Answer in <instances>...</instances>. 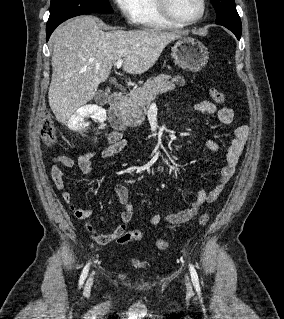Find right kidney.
<instances>
[{"label": "right kidney", "mask_w": 284, "mask_h": 319, "mask_svg": "<svg viewBox=\"0 0 284 319\" xmlns=\"http://www.w3.org/2000/svg\"><path fill=\"white\" fill-rule=\"evenodd\" d=\"M88 116H93L102 123L106 120L105 110L96 106L86 105L77 110V113L70 120L69 127L73 130H78L87 126L88 124L84 122V119Z\"/></svg>", "instance_id": "ca27d5eb"}]
</instances>
